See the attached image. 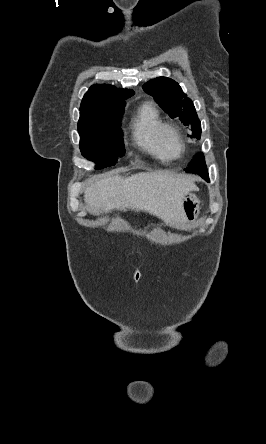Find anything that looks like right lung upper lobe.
I'll use <instances>...</instances> for the list:
<instances>
[{
  "instance_id": "1",
  "label": "right lung upper lobe",
  "mask_w": 266,
  "mask_h": 444,
  "mask_svg": "<svg viewBox=\"0 0 266 444\" xmlns=\"http://www.w3.org/2000/svg\"><path fill=\"white\" fill-rule=\"evenodd\" d=\"M134 94L133 90L118 89L111 85H93L84 95L80 110H85L106 102L123 101Z\"/></svg>"
}]
</instances>
